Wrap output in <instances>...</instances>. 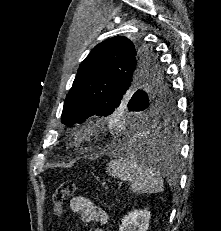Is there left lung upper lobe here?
Returning a JSON list of instances; mask_svg holds the SVG:
<instances>
[{
  "label": "left lung upper lobe",
  "instance_id": "5c2ea615",
  "mask_svg": "<svg viewBox=\"0 0 221 231\" xmlns=\"http://www.w3.org/2000/svg\"><path fill=\"white\" fill-rule=\"evenodd\" d=\"M127 106L163 124L175 119V101L159 58L142 42L116 36L96 45L81 63L64 102L61 121L82 123Z\"/></svg>",
  "mask_w": 221,
  "mask_h": 231
}]
</instances>
